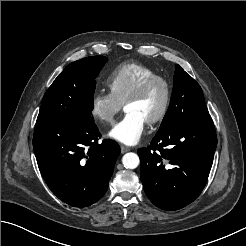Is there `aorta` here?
<instances>
[{
	"mask_svg": "<svg viewBox=\"0 0 246 246\" xmlns=\"http://www.w3.org/2000/svg\"><path fill=\"white\" fill-rule=\"evenodd\" d=\"M122 163L127 169H135L138 167L140 160L137 154L129 152L123 156Z\"/></svg>",
	"mask_w": 246,
	"mask_h": 246,
	"instance_id": "1",
	"label": "aorta"
}]
</instances>
